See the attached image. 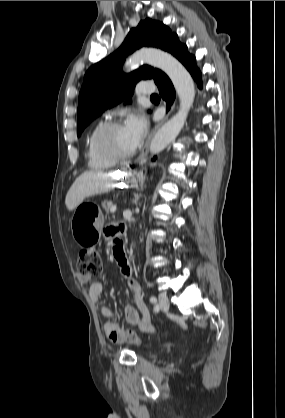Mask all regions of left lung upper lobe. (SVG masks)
Segmentation results:
<instances>
[{"label": "left lung upper lobe", "mask_w": 285, "mask_h": 418, "mask_svg": "<svg viewBox=\"0 0 285 418\" xmlns=\"http://www.w3.org/2000/svg\"><path fill=\"white\" fill-rule=\"evenodd\" d=\"M178 36L163 23L146 19L128 33L117 51L92 65L84 76L78 100V136L106 109L124 99L131 103L136 83L142 79L157 80L162 71L143 65L125 74L122 65L127 55L143 47H157L170 52Z\"/></svg>", "instance_id": "1"}]
</instances>
